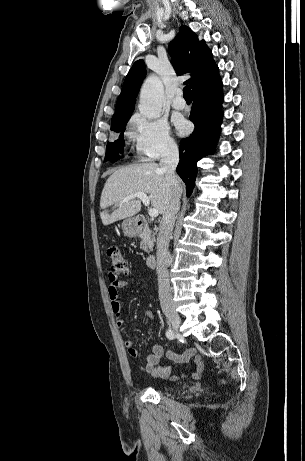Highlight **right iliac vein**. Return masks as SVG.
Segmentation results:
<instances>
[{
  "instance_id": "1",
  "label": "right iliac vein",
  "mask_w": 305,
  "mask_h": 461,
  "mask_svg": "<svg viewBox=\"0 0 305 461\" xmlns=\"http://www.w3.org/2000/svg\"><path fill=\"white\" fill-rule=\"evenodd\" d=\"M165 316L170 324V326L178 331L180 325H181V319L178 315V313L172 308L168 307L164 309Z\"/></svg>"
}]
</instances>
